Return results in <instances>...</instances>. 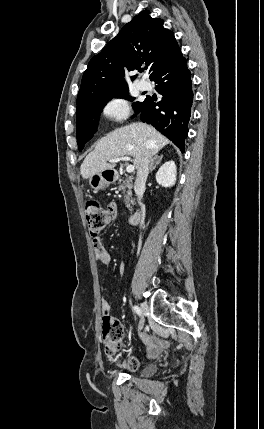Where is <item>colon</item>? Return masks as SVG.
<instances>
[{"label": "colon", "instance_id": "5ec220e1", "mask_svg": "<svg viewBox=\"0 0 264 429\" xmlns=\"http://www.w3.org/2000/svg\"><path fill=\"white\" fill-rule=\"evenodd\" d=\"M113 207L104 206L96 200H88L85 203V215L90 234L98 238L112 219ZM123 329L120 323L113 319L107 311H104L102 318V342L107 353H115L122 346ZM127 367L134 369L136 362L130 359Z\"/></svg>", "mask_w": 264, "mask_h": 429}]
</instances>
